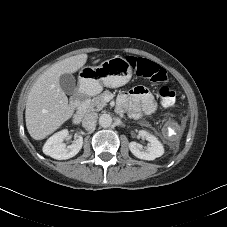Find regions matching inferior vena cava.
Listing matches in <instances>:
<instances>
[{
  "mask_svg": "<svg viewBox=\"0 0 227 227\" xmlns=\"http://www.w3.org/2000/svg\"><path fill=\"white\" fill-rule=\"evenodd\" d=\"M98 115L97 113L86 114L82 120V126L87 129H92L96 125Z\"/></svg>",
  "mask_w": 227,
  "mask_h": 227,
  "instance_id": "inferior-vena-cava-1",
  "label": "inferior vena cava"
}]
</instances>
